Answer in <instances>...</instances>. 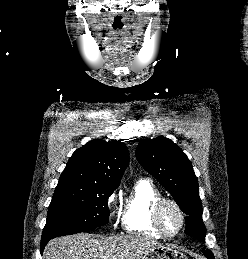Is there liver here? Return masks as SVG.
Listing matches in <instances>:
<instances>
[{"instance_id":"6515ba94","label":"liver","mask_w":248,"mask_h":259,"mask_svg":"<svg viewBox=\"0 0 248 259\" xmlns=\"http://www.w3.org/2000/svg\"><path fill=\"white\" fill-rule=\"evenodd\" d=\"M96 237L81 233L54 238L46 245L43 259H141L162 246L151 238L132 234Z\"/></svg>"}]
</instances>
